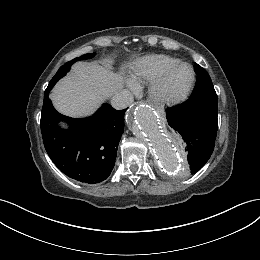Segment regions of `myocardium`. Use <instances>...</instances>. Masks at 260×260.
<instances>
[{
    "instance_id": "obj_1",
    "label": "myocardium",
    "mask_w": 260,
    "mask_h": 260,
    "mask_svg": "<svg viewBox=\"0 0 260 260\" xmlns=\"http://www.w3.org/2000/svg\"><path fill=\"white\" fill-rule=\"evenodd\" d=\"M181 66H186L190 69L191 80L189 84L181 92L173 95H168L164 92V85L168 77L171 75V73ZM194 83H195V71L193 66L187 62L179 61L166 68L152 81L149 89V94L151 99H153L155 102L161 104H173L183 100L193 88Z\"/></svg>"
}]
</instances>
